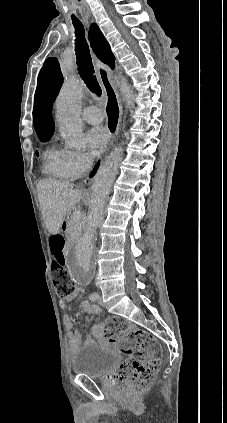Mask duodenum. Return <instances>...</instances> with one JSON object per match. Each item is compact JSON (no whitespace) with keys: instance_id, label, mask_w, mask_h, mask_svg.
Returning <instances> with one entry per match:
<instances>
[{"instance_id":"obj_1","label":"duodenum","mask_w":227,"mask_h":423,"mask_svg":"<svg viewBox=\"0 0 227 423\" xmlns=\"http://www.w3.org/2000/svg\"><path fill=\"white\" fill-rule=\"evenodd\" d=\"M56 267H58V266H56ZM58 272H60V271H57V272H55V273H58Z\"/></svg>"}]
</instances>
